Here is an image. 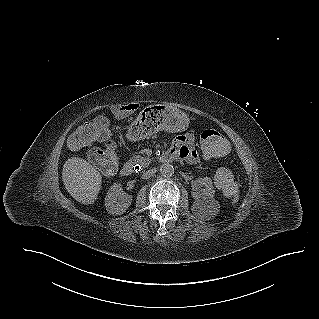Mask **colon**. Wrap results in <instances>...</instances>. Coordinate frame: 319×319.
I'll return each instance as SVG.
<instances>
[{
    "mask_svg": "<svg viewBox=\"0 0 319 319\" xmlns=\"http://www.w3.org/2000/svg\"><path fill=\"white\" fill-rule=\"evenodd\" d=\"M103 116L95 119L94 122L86 123L78 128L69 138L68 145L71 149L85 147L93 140L105 142L101 148L93 149L89 154V159L106 174H111L117 167V155L112 141L109 139L107 124L103 121ZM203 150L210 158L216 162H225L233 154V142L231 138L213 129L205 130L200 136ZM217 182L221 190L227 196L237 194L238 187L232 173L227 169H219L216 174Z\"/></svg>",
    "mask_w": 319,
    "mask_h": 319,
    "instance_id": "obj_1",
    "label": "colon"
}]
</instances>
